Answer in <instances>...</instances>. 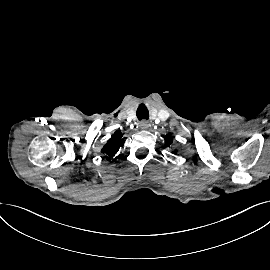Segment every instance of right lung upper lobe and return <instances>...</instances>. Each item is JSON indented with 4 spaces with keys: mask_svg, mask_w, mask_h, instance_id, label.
<instances>
[{
    "mask_svg": "<svg viewBox=\"0 0 270 270\" xmlns=\"http://www.w3.org/2000/svg\"><path fill=\"white\" fill-rule=\"evenodd\" d=\"M121 131H116L111 138L108 140L107 144L102 148L101 152L108 156V160L116 161L118 158V151L124 145L125 140L122 138Z\"/></svg>",
    "mask_w": 270,
    "mask_h": 270,
    "instance_id": "obj_1",
    "label": "right lung upper lobe"
}]
</instances>
